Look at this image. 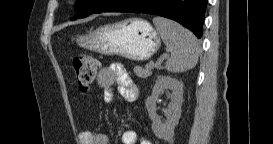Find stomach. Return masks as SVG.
<instances>
[{"mask_svg":"<svg viewBox=\"0 0 273 144\" xmlns=\"http://www.w3.org/2000/svg\"><path fill=\"white\" fill-rule=\"evenodd\" d=\"M80 47L104 55H119L134 61L149 59L160 47L158 33L143 19H126L103 25L81 35Z\"/></svg>","mask_w":273,"mask_h":144,"instance_id":"stomach-1","label":"stomach"}]
</instances>
